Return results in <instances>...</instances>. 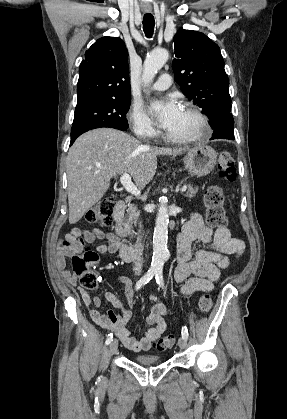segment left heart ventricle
Segmentation results:
<instances>
[{"mask_svg": "<svg viewBox=\"0 0 287 419\" xmlns=\"http://www.w3.org/2000/svg\"><path fill=\"white\" fill-rule=\"evenodd\" d=\"M199 131L200 124L198 120L184 108L181 109L173 125L167 129V133L176 137H190Z\"/></svg>", "mask_w": 287, "mask_h": 419, "instance_id": "left-heart-ventricle-1", "label": "left heart ventricle"}]
</instances>
